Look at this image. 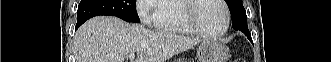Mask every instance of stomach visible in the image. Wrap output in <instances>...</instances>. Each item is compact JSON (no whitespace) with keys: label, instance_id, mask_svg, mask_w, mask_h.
I'll use <instances>...</instances> for the list:
<instances>
[{"label":"stomach","instance_id":"obj_1","mask_svg":"<svg viewBox=\"0 0 331 62\" xmlns=\"http://www.w3.org/2000/svg\"><path fill=\"white\" fill-rule=\"evenodd\" d=\"M229 55V48L214 40L202 42L197 50L198 62H227Z\"/></svg>","mask_w":331,"mask_h":62}]
</instances>
